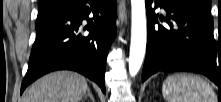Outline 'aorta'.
<instances>
[{"mask_svg": "<svg viewBox=\"0 0 221 102\" xmlns=\"http://www.w3.org/2000/svg\"><path fill=\"white\" fill-rule=\"evenodd\" d=\"M132 26L129 55V73L134 76L143 63L146 50L147 29L145 0H131Z\"/></svg>", "mask_w": 221, "mask_h": 102, "instance_id": "aorta-1", "label": "aorta"}]
</instances>
